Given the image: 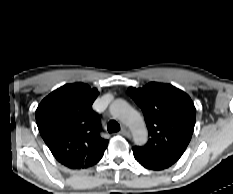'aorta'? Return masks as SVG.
Segmentation results:
<instances>
[{"label": "aorta", "mask_w": 233, "mask_h": 194, "mask_svg": "<svg viewBox=\"0 0 233 194\" xmlns=\"http://www.w3.org/2000/svg\"><path fill=\"white\" fill-rule=\"evenodd\" d=\"M111 109L131 129L136 144H144L147 141L148 132L141 115L125 100H116Z\"/></svg>", "instance_id": "1"}]
</instances>
